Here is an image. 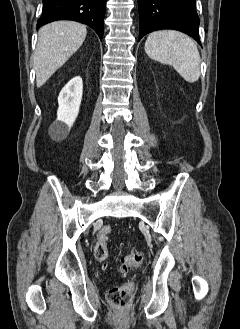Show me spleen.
<instances>
[{
    "label": "spleen",
    "mask_w": 240,
    "mask_h": 329,
    "mask_svg": "<svg viewBox=\"0 0 240 329\" xmlns=\"http://www.w3.org/2000/svg\"><path fill=\"white\" fill-rule=\"evenodd\" d=\"M145 52L156 61L169 64L189 82L200 77V54L194 41L187 35L173 30H160L149 34Z\"/></svg>",
    "instance_id": "3e777b00"
}]
</instances>
